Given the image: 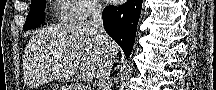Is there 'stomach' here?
<instances>
[{"label": "stomach", "instance_id": "0dacf381", "mask_svg": "<svg viewBox=\"0 0 216 90\" xmlns=\"http://www.w3.org/2000/svg\"><path fill=\"white\" fill-rule=\"evenodd\" d=\"M62 90H67V89H66V87L64 86V87H62Z\"/></svg>", "mask_w": 216, "mask_h": 90}]
</instances>
